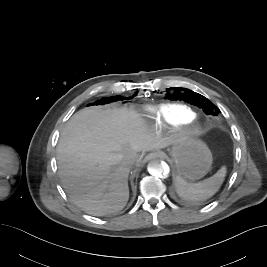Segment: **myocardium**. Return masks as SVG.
Returning a JSON list of instances; mask_svg holds the SVG:
<instances>
[{
  "label": "myocardium",
  "mask_w": 267,
  "mask_h": 267,
  "mask_svg": "<svg viewBox=\"0 0 267 267\" xmlns=\"http://www.w3.org/2000/svg\"><path fill=\"white\" fill-rule=\"evenodd\" d=\"M200 130H201V124L199 120L196 118L188 120L183 126V132L189 136L198 134Z\"/></svg>",
  "instance_id": "1"
}]
</instances>
